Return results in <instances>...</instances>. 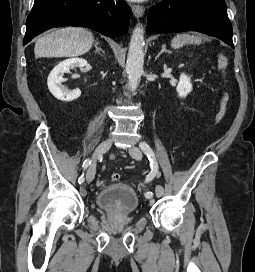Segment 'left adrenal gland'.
<instances>
[{
  "label": "left adrenal gland",
  "mask_w": 255,
  "mask_h": 272,
  "mask_svg": "<svg viewBox=\"0 0 255 272\" xmlns=\"http://www.w3.org/2000/svg\"><path fill=\"white\" fill-rule=\"evenodd\" d=\"M163 53H171L169 50L166 49V45H162L160 52L155 57V60H157L160 57V55Z\"/></svg>",
  "instance_id": "a2214340"
}]
</instances>
